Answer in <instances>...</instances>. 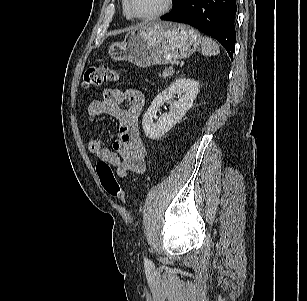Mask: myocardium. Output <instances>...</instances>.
Here are the masks:
<instances>
[{"instance_id":"myocardium-1","label":"myocardium","mask_w":307,"mask_h":301,"mask_svg":"<svg viewBox=\"0 0 307 301\" xmlns=\"http://www.w3.org/2000/svg\"><path fill=\"white\" fill-rule=\"evenodd\" d=\"M125 1H126L128 11L131 14V16L135 19L144 20V21L155 20V19H158L164 16L166 13H168L171 10L173 6V0H166L164 6L159 11L154 12L149 15H141L137 13L136 10L134 9L132 5V0H125Z\"/></svg>"}]
</instances>
